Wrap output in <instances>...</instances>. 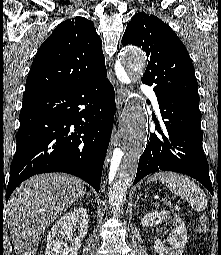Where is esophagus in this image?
<instances>
[{"label": "esophagus", "mask_w": 221, "mask_h": 255, "mask_svg": "<svg viewBox=\"0 0 221 255\" xmlns=\"http://www.w3.org/2000/svg\"><path fill=\"white\" fill-rule=\"evenodd\" d=\"M125 96H126V89L122 85L117 86L116 107H117L118 113L120 112L123 106Z\"/></svg>", "instance_id": "34e87169"}]
</instances>
